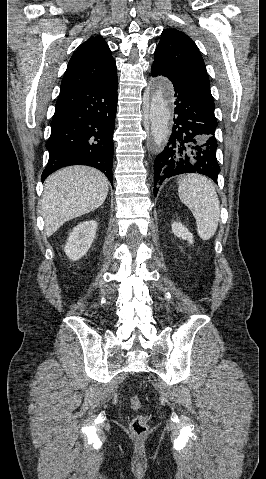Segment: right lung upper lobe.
I'll use <instances>...</instances> for the list:
<instances>
[{"label": "right lung upper lobe", "instance_id": "1", "mask_svg": "<svg viewBox=\"0 0 266 479\" xmlns=\"http://www.w3.org/2000/svg\"><path fill=\"white\" fill-rule=\"evenodd\" d=\"M116 63L102 36H92L71 57L61 89L82 87L113 79Z\"/></svg>", "mask_w": 266, "mask_h": 479}]
</instances>
